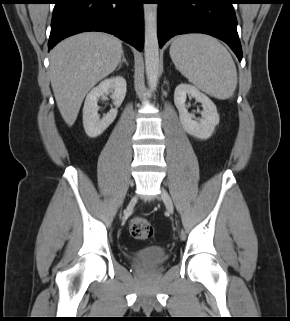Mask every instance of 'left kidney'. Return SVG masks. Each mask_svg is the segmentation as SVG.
Masks as SVG:
<instances>
[{"label": "left kidney", "mask_w": 290, "mask_h": 321, "mask_svg": "<svg viewBox=\"0 0 290 321\" xmlns=\"http://www.w3.org/2000/svg\"><path fill=\"white\" fill-rule=\"evenodd\" d=\"M191 96L200 102L203 107L202 118L194 120L186 106V98ZM174 103L179 111L180 122L184 130L198 139H208L213 134L216 125L219 124V115L215 104L196 87L189 84H180L174 92Z\"/></svg>", "instance_id": "5707ae66"}]
</instances>
